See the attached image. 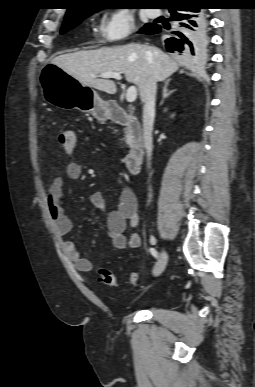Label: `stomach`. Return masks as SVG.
<instances>
[{
    "label": "stomach",
    "instance_id": "stomach-1",
    "mask_svg": "<svg viewBox=\"0 0 255 387\" xmlns=\"http://www.w3.org/2000/svg\"><path fill=\"white\" fill-rule=\"evenodd\" d=\"M45 101L61 109L77 108L91 113L97 120L106 121L110 116L109 103L97 92L81 84L58 66L51 64L40 75Z\"/></svg>",
    "mask_w": 255,
    "mask_h": 387
}]
</instances>
